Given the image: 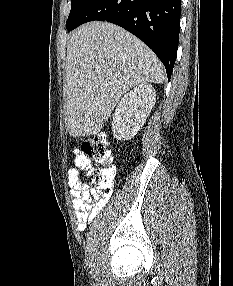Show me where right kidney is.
<instances>
[{"instance_id": "right-kidney-1", "label": "right kidney", "mask_w": 233, "mask_h": 286, "mask_svg": "<svg viewBox=\"0 0 233 286\" xmlns=\"http://www.w3.org/2000/svg\"><path fill=\"white\" fill-rule=\"evenodd\" d=\"M156 101V92L149 83L134 87L119 101L112 120V131L118 140L135 136L144 125Z\"/></svg>"}]
</instances>
